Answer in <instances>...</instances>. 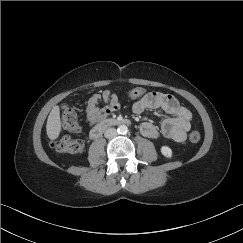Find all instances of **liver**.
<instances>
[{"mask_svg": "<svg viewBox=\"0 0 243 243\" xmlns=\"http://www.w3.org/2000/svg\"><path fill=\"white\" fill-rule=\"evenodd\" d=\"M61 129L60 109L59 106H54L47 119V136L50 140H55L59 137Z\"/></svg>", "mask_w": 243, "mask_h": 243, "instance_id": "6515ba94", "label": "liver"}]
</instances>
